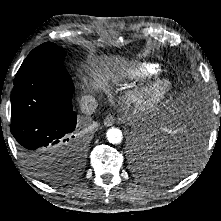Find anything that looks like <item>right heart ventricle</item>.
<instances>
[{
    "label": "right heart ventricle",
    "instance_id": "obj_1",
    "mask_svg": "<svg viewBox=\"0 0 221 221\" xmlns=\"http://www.w3.org/2000/svg\"><path fill=\"white\" fill-rule=\"evenodd\" d=\"M161 72V68L152 63H142L140 64L137 69L135 70L134 74L136 76H153L157 75Z\"/></svg>",
    "mask_w": 221,
    "mask_h": 221
}]
</instances>
